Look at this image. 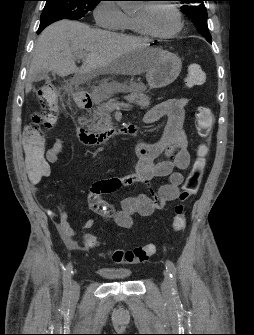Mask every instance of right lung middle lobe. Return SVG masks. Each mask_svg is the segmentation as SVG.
<instances>
[{"instance_id":"right-lung-middle-lobe-1","label":"right lung middle lobe","mask_w":254,"mask_h":335,"mask_svg":"<svg viewBox=\"0 0 254 335\" xmlns=\"http://www.w3.org/2000/svg\"><path fill=\"white\" fill-rule=\"evenodd\" d=\"M41 21L49 19L78 20L94 9L100 0H45Z\"/></svg>"}]
</instances>
